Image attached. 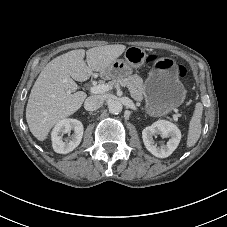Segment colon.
Wrapping results in <instances>:
<instances>
[{
    "instance_id": "1",
    "label": "colon",
    "mask_w": 227,
    "mask_h": 227,
    "mask_svg": "<svg viewBox=\"0 0 227 227\" xmlns=\"http://www.w3.org/2000/svg\"><path fill=\"white\" fill-rule=\"evenodd\" d=\"M153 59H154V57L151 56V57L149 58V61H152ZM185 74H186L185 69H184L183 67H180V68H179V75H180L181 77H184Z\"/></svg>"
}]
</instances>
